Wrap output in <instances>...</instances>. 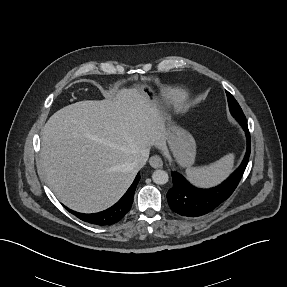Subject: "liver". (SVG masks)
Masks as SVG:
<instances>
[{
	"label": "liver",
	"instance_id": "liver-1",
	"mask_svg": "<svg viewBox=\"0 0 287 287\" xmlns=\"http://www.w3.org/2000/svg\"><path fill=\"white\" fill-rule=\"evenodd\" d=\"M164 118L137 89L115 98L63 107L46 122L41 165L46 181L67 207L83 213L116 203L138 170L131 163L152 145L164 149Z\"/></svg>",
	"mask_w": 287,
	"mask_h": 287
}]
</instances>
